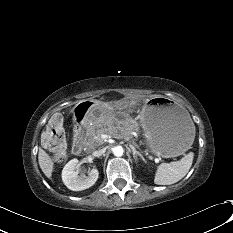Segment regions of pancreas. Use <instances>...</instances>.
Returning <instances> with one entry per match:
<instances>
[{"instance_id":"obj_1","label":"pancreas","mask_w":233,"mask_h":233,"mask_svg":"<svg viewBox=\"0 0 233 233\" xmlns=\"http://www.w3.org/2000/svg\"><path fill=\"white\" fill-rule=\"evenodd\" d=\"M134 130H137L135 125L133 127L127 128V130L123 133H118V128L113 125V121L111 119L93 123L87 128V146L91 149H94L102 145L104 143V140L101 137L102 134H109L116 138H125L128 137Z\"/></svg>"}]
</instances>
